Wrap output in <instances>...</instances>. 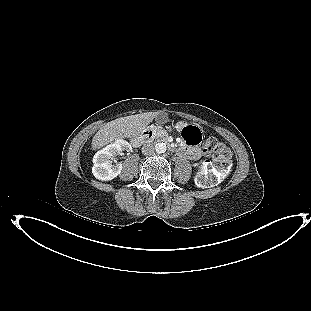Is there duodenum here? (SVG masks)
Wrapping results in <instances>:
<instances>
[{
    "mask_svg": "<svg viewBox=\"0 0 311 311\" xmlns=\"http://www.w3.org/2000/svg\"><path fill=\"white\" fill-rule=\"evenodd\" d=\"M151 139H159L165 141L167 144L170 143L168 137L163 131L154 127H148L143 130L141 135L136 136L132 139V144L135 147H139L146 141H149Z\"/></svg>",
    "mask_w": 311,
    "mask_h": 311,
    "instance_id": "1",
    "label": "duodenum"
}]
</instances>
